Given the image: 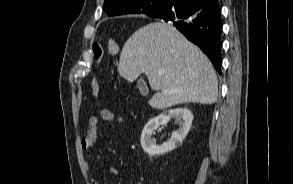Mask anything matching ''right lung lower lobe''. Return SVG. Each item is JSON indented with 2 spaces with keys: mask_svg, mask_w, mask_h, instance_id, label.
<instances>
[{
  "mask_svg": "<svg viewBox=\"0 0 293 184\" xmlns=\"http://www.w3.org/2000/svg\"><path fill=\"white\" fill-rule=\"evenodd\" d=\"M218 1L204 6L196 0H179L153 18L173 24L188 40L198 45L221 74L222 21Z\"/></svg>",
  "mask_w": 293,
  "mask_h": 184,
  "instance_id": "obj_1",
  "label": "right lung lower lobe"
}]
</instances>
